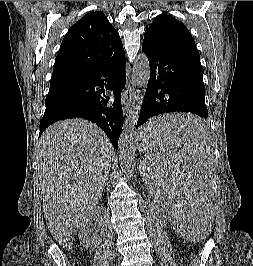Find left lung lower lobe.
I'll return each instance as SVG.
<instances>
[{
    "mask_svg": "<svg viewBox=\"0 0 253 266\" xmlns=\"http://www.w3.org/2000/svg\"><path fill=\"white\" fill-rule=\"evenodd\" d=\"M142 50L149 60L150 80L136 128L153 116L170 112L193 113L206 119L204 70L197 48L175 40L144 36ZM205 129L206 124L200 118L187 123L152 126L146 135L151 140L170 136L191 140L202 135Z\"/></svg>",
    "mask_w": 253,
    "mask_h": 266,
    "instance_id": "left-lung-lower-lobe-1",
    "label": "left lung lower lobe"
}]
</instances>
